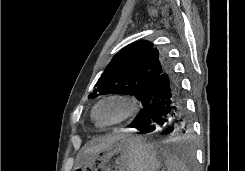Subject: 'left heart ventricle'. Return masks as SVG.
Masks as SVG:
<instances>
[{
  "instance_id": "left-heart-ventricle-1",
  "label": "left heart ventricle",
  "mask_w": 245,
  "mask_h": 171,
  "mask_svg": "<svg viewBox=\"0 0 245 171\" xmlns=\"http://www.w3.org/2000/svg\"><path fill=\"white\" fill-rule=\"evenodd\" d=\"M125 107L118 101H107L101 104L97 110V116L104 122H111L120 118Z\"/></svg>"
}]
</instances>
